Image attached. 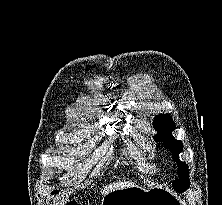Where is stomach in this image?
Here are the masks:
<instances>
[{
  "label": "stomach",
  "instance_id": "stomach-1",
  "mask_svg": "<svg viewBox=\"0 0 222 205\" xmlns=\"http://www.w3.org/2000/svg\"><path fill=\"white\" fill-rule=\"evenodd\" d=\"M101 205H185L172 191L155 186L149 189L137 185L105 193Z\"/></svg>",
  "mask_w": 222,
  "mask_h": 205
}]
</instances>
